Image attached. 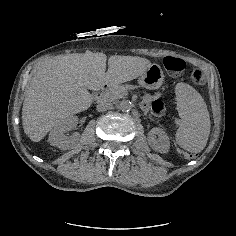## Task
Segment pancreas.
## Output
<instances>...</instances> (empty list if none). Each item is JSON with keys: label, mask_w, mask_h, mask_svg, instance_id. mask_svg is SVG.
<instances>
[{"label": "pancreas", "mask_w": 236, "mask_h": 236, "mask_svg": "<svg viewBox=\"0 0 236 236\" xmlns=\"http://www.w3.org/2000/svg\"><path fill=\"white\" fill-rule=\"evenodd\" d=\"M123 93V90L120 87H116L114 90H109L103 95V98L106 101L114 100L116 96H120Z\"/></svg>", "instance_id": "pancreas-1"}]
</instances>
